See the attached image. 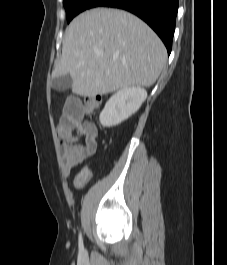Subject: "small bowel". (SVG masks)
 Masks as SVG:
<instances>
[{"instance_id": "small-bowel-1", "label": "small bowel", "mask_w": 227, "mask_h": 265, "mask_svg": "<svg viewBox=\"0 0 227 265\" xmlns=\"http://www.w3.org/2000/svg\"><path fill=\"white\" fill-rule=\"evenodd\" d=\"M64 104L65 111L60 121L58 138L63 151L64 169L69 174L87 158L96 154L98 130L93 122L83 120L82 113H85V108L80 96H69V99H64ZM82 135L85 136V145L78 142ZM90 178V169L82 168L73 178V187L82 189Z\"/></svg>"}]
</instances>
